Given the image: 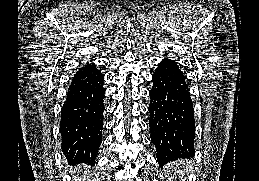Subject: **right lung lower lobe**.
<instances>
[{
	"label": "right lung lower lobe",
	"instance_id": "obj_1",
	"mask_svg": "<svg viewBox=\"0 0 259 181\" xmlns=\"http://www.w3.org/2000/svg\"><path fill=\"white\" fill-rule=\"evenodd\" d=\"M104 76L94 63L72 78L61 110L62 151L69 161L94 162L102 140Z\"/></svg>",
	"mask_w": 259,
	"mask_h": 181
}]
</instances>
